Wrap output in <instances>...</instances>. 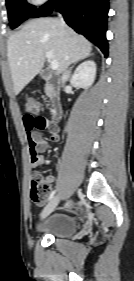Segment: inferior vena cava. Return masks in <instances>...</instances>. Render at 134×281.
I'll return each mask as SVG.
<instances>
[{"label":"inferior vena cava","mask_w":134,"mask_h":281,"mask_svg":"<svg viewBox=\"0 0 134 281\" xmlns=\"http://www.w3.org/2000/svg\"><path fill=\"white\" fill-rule=\"evenodd\" d=\"M60 21H61L62 23H64L62 17H61ZM69 75H70V70H66V71L63 73L62 78H61L63 84L68 80Z\"/></svg>","instance_id":"602c4592"}]
</instances>
